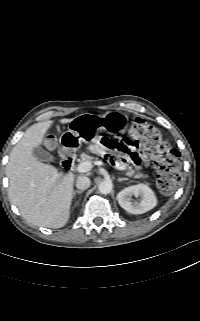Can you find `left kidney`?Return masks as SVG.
Segmentation results:
<instances>
[{
  "label": "left kidney",
  "mask_w": 200,
  "mask_h": 321,
  "mask_svg": "<svg viewBox=\"0 0 200 321\" xmlns=\"http://www.w3.org/2000/svg\"><path fill=\"white\" fill-rule=\"evenodd\" d=\"M132 196L141 197L139 202L132 201ZM120 206L131 214H142L157 205V198L152 189L146 184L129 186L117 194Z\"/></svg>",
  "instance_id": "1"
}]
</instances>
